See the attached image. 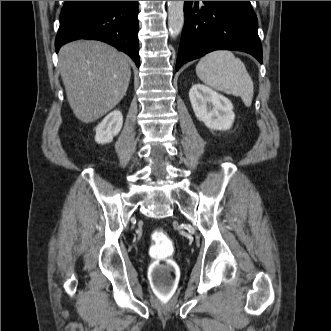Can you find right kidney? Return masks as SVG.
Masks as SVG:
<instances>
[{"instance_id": "obj_1", "label": "right kidney", "mask_w": 331, "mask_h": 331, "mask_svg": "<svg viewBox=\"0 0 331 331\" xmlns=\"http://www.w3.org/2000/svg\"><path fill=\"white\" fill-rule=\"evenodd\" d=\"M122 125V113L118 110L112 111L96 127L95 141L99 144L112 142L113 138L120 132Z\"/></svg>"}]
</instances>
